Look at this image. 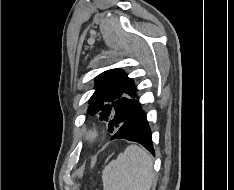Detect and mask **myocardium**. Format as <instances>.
<instances>
[{
	"label": "myocardium",
	"mask_w": 234,
	"mask_h": 190,
	"mask_svg": "<svg viewBox=\"0 0 234 190\" xmlns=\"http://www.w3.org/2000/svg\"><path fill=\"white\" fill-rule=\"evenodd\" d=\"M97 136H98V132L95 129H92L87 133V139L89 141H94L97 138Z\"/></svg>",
	"instance_id": "obj_1"
}]
</instances>
